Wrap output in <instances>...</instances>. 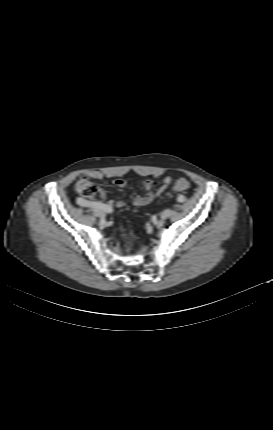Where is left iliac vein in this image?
Returning a JSON list of instances; mask_svg holds the SVG:
<instances>
[{
    "instance_id": "1",
    "label": "left iliac vein",
    "mask_w": 273,
    "mask_h": 430,
    "mask_svg": "<svg viewBox=\"0 0 273 430\" xmlns=\"http://www.w3.org/2000/svg\"><path fill=\"white\" fill-rule=\"evenodd\" d=\"M170 212H171L170 209L164 210L160 215L161 219L165 220V219L169 218V216L171 215Z\"/></svg>"
}]
</instances>
